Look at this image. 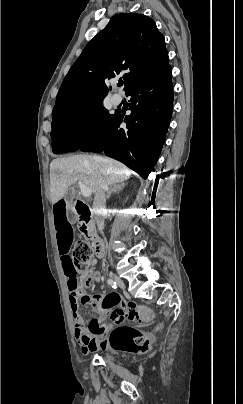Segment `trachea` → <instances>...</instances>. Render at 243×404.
<instances>
[{
  "instance_id": "trachea-1",
  "label": "trachea",
  "mask_w": 243,
  "mask_h": 404,
  "mask_svg": "<svg viewBox=\"0 0 243 404\" xmlns=\"http://www.w3.org/2000/svg\"><path fill=\"white\" fill-rule=\"evenodd\" d=\"M117 85L118 87H121L123 85V82H119Z\"/></svg>"
}]
</instances>
